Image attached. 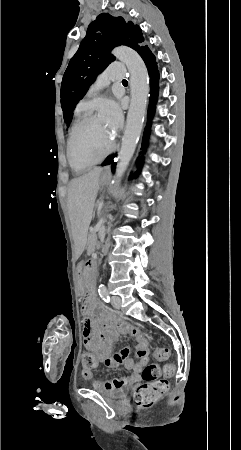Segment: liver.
Masks as SVG:
<instances>
[{
    "label": "liver",
    "mask_w": 241,
    "mask_h": 450,
    "mask_svg": "<svg viewBox=\"0 0 241 450\" xmlns=\"http://www.w3.org/2000/svg\"><path fill=\"white\" fill-rule=\"evenodd\" d=\"M102 168H95L89 174L72 180L68 190V206L70 218L76 220L79 226L86 222L88 228L93 214L94 202L99 190V178Z\"/></svg>",
    "instance_id": "6515ba94"
}]
</instances>
